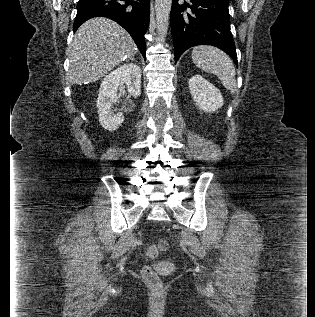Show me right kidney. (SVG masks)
I'll return each mask as SVG.
<instances>
[{
	"instance_id": "1",
	"label": "right kidney",
	"mask_w": 315,
	"mask_h": 317,
	"mask_svg": "<svg viewBox=\"0 0 315 317\" xmlns=\"http://www.w3.org/2000/svg\"><path fill=\"white\" fill-rule=\"evenodd\" d=\"M127 85L128 93L137 98L141 93V69L135 64H124L103 79L97 98L100 125L108 130H116L124 121L122 112L114 114L112 104L119 102L118 89Z\"/></svg>"
}]
</instances>
